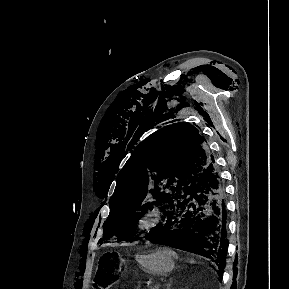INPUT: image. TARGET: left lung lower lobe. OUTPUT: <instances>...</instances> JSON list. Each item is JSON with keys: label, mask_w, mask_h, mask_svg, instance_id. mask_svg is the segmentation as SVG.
Listing matches in <instances>:
<instances>
[{"label": "left lung lower lobe", "mask_w": 289, "mask_h": 289, "mask_svg": "<svg viewBox=\"0 0 289 289\" xmlns=\"http://www.w3.org/2000/svg\"><path fill=\"white\" fill-rule=\"evenodd\" d=\"M226 229L224 186L213 158L204 172L174 198L166 223L146 237L152 243L212 259L222 278L228 248Z\"/></svg>", "instance_id": "obj_1"}]
</instances>
